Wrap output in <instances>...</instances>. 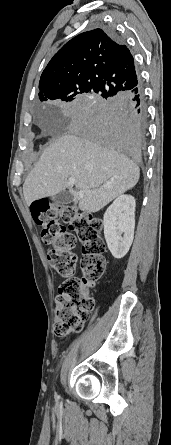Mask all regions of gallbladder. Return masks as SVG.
Here are the masks:
<instances>
[{
	"instance_id": "obj_1",
	"label": "gallbladder",
	"mask_w": 171,
	"mask_h": 445,
	"mask_svg": "<svg viewBox=\"0 0 171 445\" xmlns=\"http://www.w3.org/2000/svg\"><path fill=\"white\" fill-rule=\"evenodd\" d=\"M55 204H68L72 201V194L68 191H61L52 197Z\"/></svg>"
}]
</instances>
